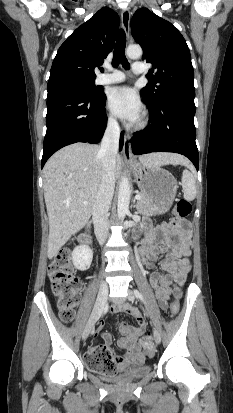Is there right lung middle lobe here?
I'll list each match as a JSON object with an SVG mask.
<instances>
[{
    "label": "right lung middle lobe",
    "instance_id": "right-lung-middle-lobe-1",
    "mask_svg": "<svg viewBox=\"0 0 233 413\" xmlns=\"http://www.w3.org/2000/svg\"><path fill=\"white\" fill-rule=\"evenodd\" d=\"M95 79L80 78V77H63L52 81H48V92L56 90H73L81 93L82 95L93 99L101 100L104 97V93L97 89L94 84Z\"/></svg>",
    "mask_w": 233,
    "mask_h": 413
}]
</instances>
